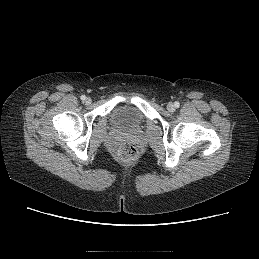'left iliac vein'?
Segmentation results:
<instances>
[{
  "instance_id": "1",
  "label": "left iliac vein",
  "mask_w": 259,
  "mask_h": 259,
  "mask_svg": "<svg viewBox=\"0 0 259 259\" xmlns=\"http://www.w3.org/2000/svg\"><path fill=\"white\" fill-rule=\"evenodd\" d=\"M167 109H168V111L173 112L175 110L174 104L173 103H168Z\"/></svg>"
}]
</instances>
